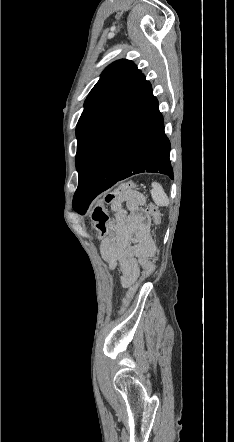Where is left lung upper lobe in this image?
<instances>
[{"instance_id": "obj_1", "label": "left lung upper lobe", "mask_w": 234, "mask_h": 442, "mask_svg": "<svg viewBox=\"0 0 234 442\" xmlns=\"http://www.w3.org/2000/svg\"><path fill=\"white\" fill-rule=\"evenodd\" d=\"M141 71L130 60H118L110 64L89 93L84 111L76 127V168L79 169L84 148L99 125L109 116L128 92Z\"/></svg>"}]
</instances>
